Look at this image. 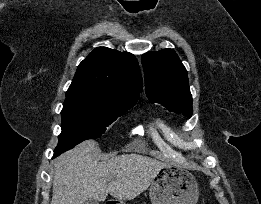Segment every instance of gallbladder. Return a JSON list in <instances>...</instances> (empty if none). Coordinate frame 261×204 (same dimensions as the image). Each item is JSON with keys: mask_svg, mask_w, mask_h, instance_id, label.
I'll use <instances>...</instances> for the list:
<instances>
[{"mask_svg": "<svg viewBox=\"0 0 261 204\" xmlns=\"http://www.w3.org/2000/svg\"><path fill=\"white\" fill-rule=\"evenodd\" d=\"M84 204H99V203L94 199H88L84 202Z\"/></svg>", "mask_w": 261, "mask_h": 204, "instance_id": "bac80fb5", "label": "gallbladder"}]
</instances>
